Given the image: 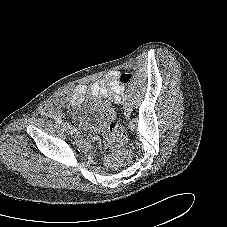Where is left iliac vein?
Returning <instances> with one entry per match:
<instances>
[{"mask_svg":"<svg viewBox=\"0 0 227 227\" xmlns=\"http://www.w3.org/2000/svg\"><path fill=\"white\" fill-rule=\"evenodd\" d=\"M123 106H124L125 111H126L128 114H130V113L132 112V106H131L130 103L124 102V103H123Z\"/></svg>","mask_w":227,"mask_h":227,"instance_id":"obj_1","label":"left iliac vein"}]
</instances>
